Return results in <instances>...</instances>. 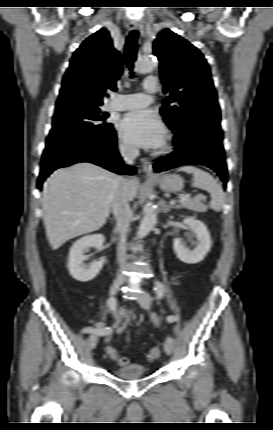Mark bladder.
Returning <instances> with one entry per match:
<instances>
[{
	"mask_svg": "<svg viewBox=\"0 0 273 430\" xmlns=\"http://www.w3.org/2000/svg\"><path fill=\"white\" fill-rule=\"evenodd\" d=\"M146 374V368L142 364L130 363L121 366L115 371V375L120 379L133 380L144 377Z\"/></svg>",
	"mask_w": 273,
	"mask_h": 430,
	"instance_id": "obj_1",
	"label": "bladder"
}]
</instances>
